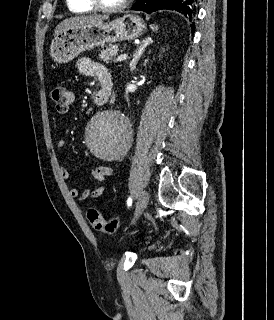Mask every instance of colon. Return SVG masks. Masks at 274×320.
Returning <instances> with one entry per match:
<instances>
[{"label": "colon", "mask_w": 274, "mask_h": 320, "mask_svg": "<svg viewBox=\"0 0 274 320\" xmlns=\"http://www.w3.org/2000/svg\"><path fill=\"white\" fill-rule=\"evenodd\" d=\"M51 98L58 113L67 112L69 106L73 103V94L65 86L54 87L51 92ZM87 214L90 223L98 232L113 234L119 226V217L106 220L95 208L89 209Z\"/></svg>", "instance_id": "colon-1"}]
</instances>
